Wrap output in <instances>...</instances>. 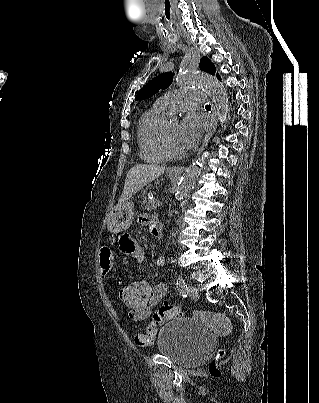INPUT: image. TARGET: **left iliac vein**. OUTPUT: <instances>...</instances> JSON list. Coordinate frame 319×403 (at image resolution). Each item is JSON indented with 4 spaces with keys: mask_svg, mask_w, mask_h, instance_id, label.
Here are the masks:
<instances>
[{
    "mask_svg": "<svg viewBox=\"0 0 319 403\" xmlns=\"http://www.w3.org/2000/svg\"><path fill=\"white\" fill-rule=\"evenodd\" d=\"M188 293H189V296L193 300H198L199 299V292H198V289L196 287L189 286Z\"/></svg>",
    "mask_w": 319,
    "mask_h": 403,
    "instance_id": "1",
    "label": "left iliac vein"
}]
</instances>
